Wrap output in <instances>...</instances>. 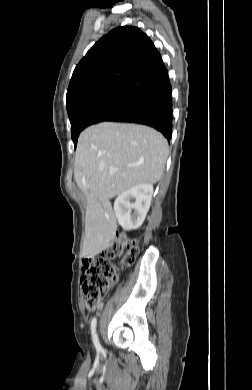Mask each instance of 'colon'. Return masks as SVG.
<instances>
[{"label": "colon", "mask_w": 252, "mask_h": 390, "mask_svg": "<svg viewBox=\"0 0 252 390\" xmlns=\"http://www.w3.org/2000/svg\"><path fill=\"white\" fill-rule=\"evenodd\" d=\"M126 250L122 258L125 265L135 261L138 254L137 240L121 235L105 248L97 258L88 259L82 268V294L86 306L94 309L116 280L113 260Z\"/></svg>", "instance_id": "obj_1"}]
</instances>
